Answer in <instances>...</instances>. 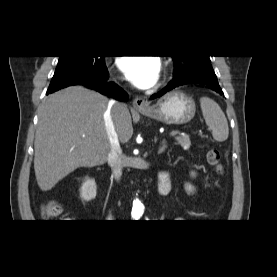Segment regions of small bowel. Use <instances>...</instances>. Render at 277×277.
Instances as JSON below:
<instances>
[{"instance_id": "small-bowel-1", "label": "small bowel", "mask_w": 277, "mask_h": 277, "mask_svg": "<svg viewBox=\"0 0 277 277\" xmlns=\"http://www.w3.org/2000/svg\"><path fill=\"white\" fill-rule=\"evenodd\" d=\"M163 173H165L166 175H168L166 172H161V173L159 174V187H160V193L165 192V191L167 190V188H168V185H167L165 182H163V181L161 180V177H162Z\"/></svg>"}]
</instances>
